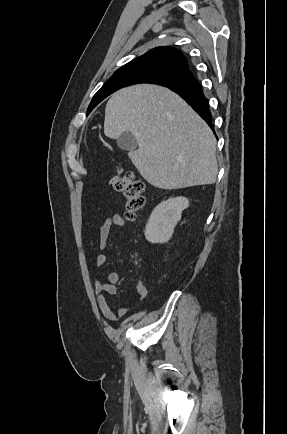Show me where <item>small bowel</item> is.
Here are the masks:
<instances>
[{
	"label": "small bowel",
	"mask_w": 287,
	"mask_h": 434,
	"mask_svg": "<svg viewBox=\"0 0 287 434\" xmlns=\"http://www.w3.org/2000/svg\"><path fill=\"white\" fill-rule=\"evenodd\" d=\"M126 222L125 219L120 214H113L106 216L99 228V240L98 246L100 250H104L107 245L108 238L111 234L113 228H123ZM108 259V254L102 252L96 258V264L98 267L105 265ZM120 281V274L115 271H110L106 275V281L100 278H96L94 281L95 296L98 302V307L103 315V317L109 322H115L118 318L127 315L129 309L128 307L121 306L116 310H113L109 305L106 295H115L117 293L116 284ZM147 295V289L142 281H137L135 283V290L133 294V301L139 302L143 300Z\"/></svg>",
	"instance_id": "small-bowel-1"
}]
</instances>
